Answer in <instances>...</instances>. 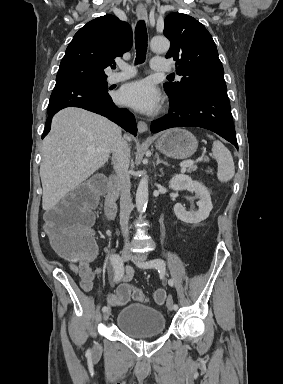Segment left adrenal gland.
Here are the masks:
<instances>
[{
  "mask_svg": "<svg viewBox=\"0 0 283 384\" xmlns=\"http://www.w3.org/2000/svg\"><path fill=\"white\" fill-rule=\"evenodd\" d=\"M155 156H156V158H157V160H156V166H158V164H164V166H169V164H167V162H164V160H160V158H159V154H157V152H156Z\"/></svg>",
  "mask_w": 283,
  "mask_h": 384,
  "instance_id": "a2214340",
  "label": "left adrenal gland"
}]
</instances>
